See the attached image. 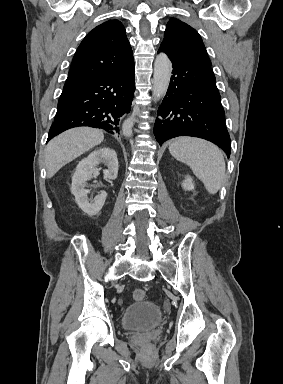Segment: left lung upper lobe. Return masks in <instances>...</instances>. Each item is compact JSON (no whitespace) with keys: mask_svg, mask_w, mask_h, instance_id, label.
Masks as SVG:
<instances>
[{"mask_svg":"<svg viewBox=\"0 0 283 384\" xmlns=\"http://www.w3.org/2000/svg\"><path fill=\"white\" fill-rule=\"evenodd\" d=\"M170 52L211 66V61L198 32L188 24L171 18L161 43Z\"/></svg>","mask_w":283,"mask_h":384,"instance_id":"1","label":"left lung upper lobe"}]
</instances>
